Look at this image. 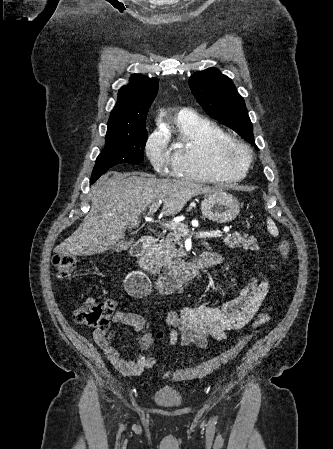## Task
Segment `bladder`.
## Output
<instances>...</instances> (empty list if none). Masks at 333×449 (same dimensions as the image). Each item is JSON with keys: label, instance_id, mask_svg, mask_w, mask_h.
Returning <instances> with one entry per match:
<instances>
[{"label": "bladder", "instance_id": "obj_1", "mask_svg": "<svg viewBox=\"0 0 333 449\" xmlns=\"http://www.w3.org/2000/svg\"><path fill=\"white\" fill-rule=\"evenodd\" d=\"M153 400L160 407L175 408L182 405L183 396L178 389L164 386L154 392Z\"/></svg>", "mask_w": 333, "mask_h": 449}]
</instances>
